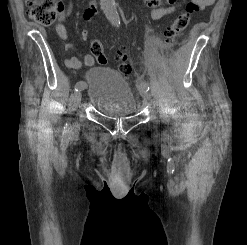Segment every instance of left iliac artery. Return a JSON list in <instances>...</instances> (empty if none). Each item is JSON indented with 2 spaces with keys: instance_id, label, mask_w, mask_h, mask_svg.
<instances>
[{
  "instance_id": "44dca946",
  "label": "left iliac artery",
  "mask_w": 247,
  "mask_h": 245,
  "mask_svg": "<svg viewBox=\"0 0 247 245\" xmlns=\"http://www.w3.org/2000/svg\"><path fill=\"white\" fill-rule=\"evenodd\" d=\"M140 85H145L147 87V90H149V86H148V84L145 81H141L140 82Z\"/></svg>"
}]
</instances>
